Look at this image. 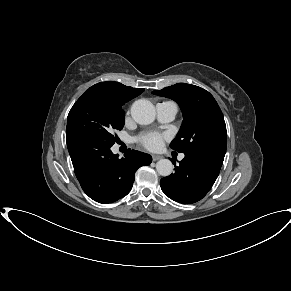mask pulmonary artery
Instances as JSON below:
<instances>
[{
    "label": "pulmonary artery",
    "instance_id": "e3ab8cb5",
    "mask_svg": "<svg viewBox=\"0 0 291 291\" xmlns=\"http://www.w3.org/2000/svg\"><path fill=\"white\" fill-rule=\"evenodd\" d=\"M157 118L162 123H169L174 120L177 115L178 107L172 101L159 102L156 106ZM180 159L184 158V155H180Z\"/></svg>",
    "mask_w": 291,
    "mask_h": 291
}]
</instances>
